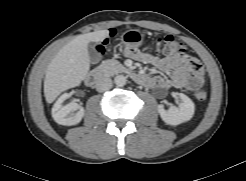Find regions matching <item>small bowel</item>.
<instances>
[{
	"label": "small bowel",
	"instance_id": "obj_1",
	"mask_svg": "<svg viewBox=\"0 0 246 181\" xmlns=\"http://www.w3.org/2000/svg\"><path fill=\"white\" fill-rule=\"evenodd\" d=\"M124 55L143 63L152 64L158 69L170 73L169 77L159 75L149 77L146 86L194 89L203 83L202 73L198 78L190 67L191 62L197 59L183 52L165 58H155L141 52L135 47H127L124 49Z\"/></svg>",
	"mask_w": 246,
	"mask_h": 181
}]
</instances>
